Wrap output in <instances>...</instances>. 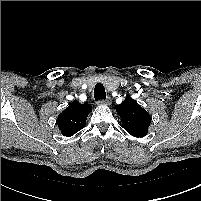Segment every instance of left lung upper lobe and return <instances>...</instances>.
I'll list each match as a JSON object with an SVG mask.
<instances>
[{"mask_svg":"<svg viewBox=\"0 0 201 201\" xmlns=\"http://www.w3.org/2000/svg\"><path fill=\"white\" fill-rule=\"evenodd\" d=\"M115 109L121 117L122 127L130 135L138 138L147 135L151 117L134 99L126 97Z\"/></svg>","mask_w":201,"mask_h":201,"instance_id":"5c2ea615","label":"left lung upper lobe"}]
</instances>
